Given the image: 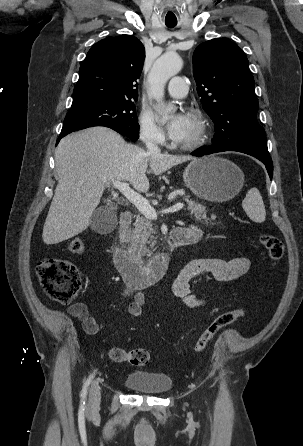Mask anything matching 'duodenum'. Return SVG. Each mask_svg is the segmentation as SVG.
<instances>
[{"label": "duodenum", "mask_w": 303, "mask_h": 446, "mask_svg": "<svg viewBox=\"0 0 303 446\" xmlns=\"http://www.w3.org/2000/svg\"><path fill=\"white\" fill-rule=\"evenodd\" d=\"M132 218L130 211H123L120 215L121 228L126 229ZM192 242L193 239L182 228H175L166 237L163 249L149 260L136 258L119 247L113 251V260L127 286L130 289H140L162 277L169 268L173 253L179 247Z\"/></svg>", "instance_id": "410a0bca"}]
</instances>
